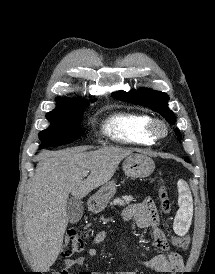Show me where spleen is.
<instances>
[{
    "instance_id": "obj_1",
    "label": "spleen",
    "mask_w": 215,
    "mask_h": 274,
    "mask_svg": "<svg viewBox=\"0 0 215 274\" xmlns=\"http://www.w3.org/2000/svg\"><path fill=\"white\" fill-rule=\"evenodd\" d=\"M178 187V203L179 210L174 221V231L178 235H184L186 232L187 223L190 222L193 215L192 196L188 184L180 179L177 183Z\"/></svg>"
}]
</instances>
